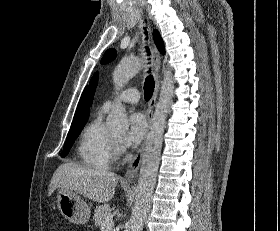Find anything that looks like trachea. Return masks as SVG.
I'll use <instances>...</instances> for the list:
<instances>
[{"mask_svg":"<svg viewBox=\"0 0 280 231\" xmlns=\"http://www.w3.org/2000/svg\"><path fill=\"white\" fill-rule=\"evenodd\" d=\"M154 91V80L152 76H147L144 83V98L149 101Z\"/></svg>","mask_w":280,"mask_h":231,"instance_id":"obj_1","label":"trachea"}]
</instances>
